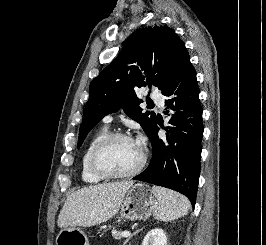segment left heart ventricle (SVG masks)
<instances>
[{"instance_id":"b2bd125f","label":"left heart ventricle","mask_w":266,"mask_h":245,"mask_svg":"<svg viewBox=\"0 0 266 245\" xmlns=\"http://www.w3.org/2000/svg\"><path fill=\"white\" fill-rule=\"evenodd\" d=\"M140 157L139 146L128 139H116L111 142L102 154V165L116 174L132 171Z\"/></svg>"}]
</instances>
